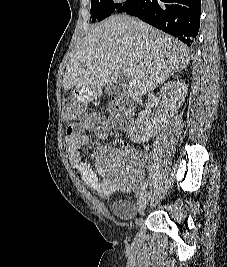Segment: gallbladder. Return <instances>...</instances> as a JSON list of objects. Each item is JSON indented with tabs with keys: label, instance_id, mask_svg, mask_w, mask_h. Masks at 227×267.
<instances>
[{
	"label": "gallbladder",
	"instance_id": "obj_1",
	"mask_svg": "<svg viewBox=\"0 0 227 267\" xmlns=\"http://www.w3.org/2000/svg\"><path fill=\"white\" fill-rule=\"evenodd\" d=\"M117 86H119V82H117V81L105 86L104 93L105 94L113 93V91L116 89Z\"/></svg>",
	"mask_w": 227,
	"mask_h": 267
}]
</instances>
